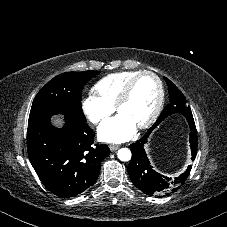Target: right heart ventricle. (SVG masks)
Returning <instances> with one entry per match:
<instances>
[{
  "label": "right heart ventricle",
  "mask_w": 227,
  "mask_h": 227,
  "mask_svg": "<svg viewBox=\"0 0 227 227\" xmlns=\"http://www.w3.org/2000/svg\"><path fill=\"white\" fill-rule=\"evenodd\" d=\"M138 72L130 70L109 74L95 84L93 92L109 106L114 107L127 82Z\"/></svg>",
  "instance_id": "1"
}]
</instances>
